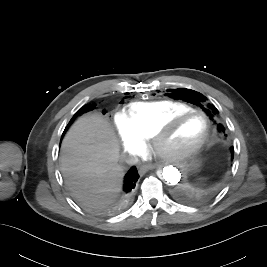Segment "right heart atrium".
<instances>
[{
  "instance_id": "obj_1",
  "label": "right heart atrium",
  "mask_w": 267,
  "mask_h": 267,
  "mask_svg": "<svg viewBox=\"0 0 267 267\" xmlns=\"http://www.w3.org/2000/svg\"><path fill=\"white\" fill-rule=\"evenodd\" d=\"M114 123L123 150L131 158H137L145 150V140L128 124L123 113L114 116Z\"/></svg>"
}]
</instances>
